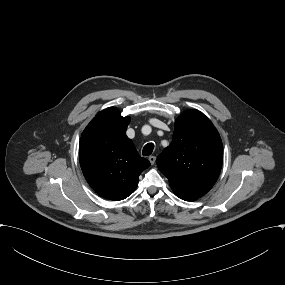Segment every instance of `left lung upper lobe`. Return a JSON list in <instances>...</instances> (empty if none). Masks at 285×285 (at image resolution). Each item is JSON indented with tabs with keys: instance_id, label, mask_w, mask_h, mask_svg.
<instances>
[{
	"instance_id": "1",
	"label": "left lung upper lobe",
	"mask_w": 285,
	"mask_h": 285,
	"mask_svg": "<svg viewBox=\"0 0 285 285\" xmlns=\"http://www.w3.org/2000/svg\"><path fill=\"white\" fill-rule=\"evenodd\" d=\"M222 163L220 135L197 110L185 111L176 119L172 143L157 158L173 192L185 201H195L213 187Z\"/></svg>"
}]
</instances>
